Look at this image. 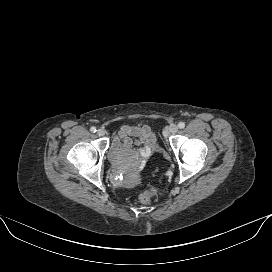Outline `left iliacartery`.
<instances>
[{"label": "left iliac artery", "instance_id": "left-iliac-artery-1", "mask_svg": "<svg viewBox=\"0 0 272 272\" xmlns=\"http://www.w3.org/2000/svg\"><path fill=\"white\" fill-rule=\"evenodd\" d=\"M178 127H179L180 129H183V128L185 127V123H184V122H179V123H178Z\"/></svg>", "mask_w": 272, "mask_h": 272}]
</instances>
